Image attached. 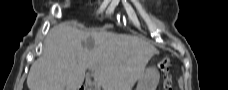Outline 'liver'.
Here are the masks:
<instances>
[{
    "instance_id": "6515ba94",
    "label": "liver",
    "mask_w": 228,
    "mask_h": 90,
    "mask_svg": "<svg viewBox=\"0 0 228 90\" xmlns=\"http://www.w3.org/2000/svg\"><path fill=\"white\" fill-rule=\"evenodd\" d=\"M91 38L88 49L83 41ZM158 50L146 39L106 31L87 32L69 23L53 27L43 54L31 66L29 90H80L87 69L97 90H131Z\"/></svg>"
}]
</instances>
